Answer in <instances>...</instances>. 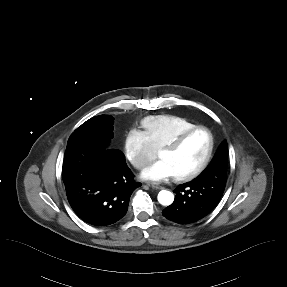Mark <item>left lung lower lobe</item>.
Segmentation results:
<instances>
[{
  "label": "left lung lower lobe",
  "mask_w": 287,
  "mask_h": 287,
  "mask_svg": "<svg viewBox=\"0 0 287 287\" xmlns=\"http://www.w3.org/2000/svg\"><path fill=\"white\" fill-rule=\"evenodd\" d=\"M226 178L217 174L209 182L195 180L176 187L174 202L162 211L167 219L179 224L200 220L210 213L223 195Z\"/></svg>",
  "instance_id": "1"
}]
</instances>
